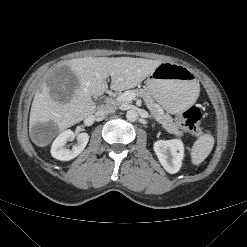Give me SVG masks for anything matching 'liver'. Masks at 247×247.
Segmentation results:
<instances>
[{
    "label": "liver",
    "instance_id": "liver-1",
    "mask_svg": "<svg viewBox=\"0 0 247 247\" xmlns=\"http://www.w3.org/2000/svg\"><path fill=\"white\" fill-rule=\"evenodd\" d=\"M162 62L131 57H83L65 61L59 67H68L79 81L72 97L67 102L54 99L45 82L35 93L29 118L32 129L38 123H54L58 131H63L90 116L96 110L92 96L102 95L108 88L124 91L140 84ZM43 146V144L34 140Z\"/></svg>",
    "mask_w": 247,
    "mask_h": 247
}]
</instances>
